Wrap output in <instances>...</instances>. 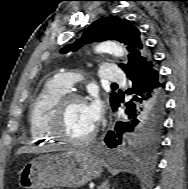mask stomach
<instances>
[{
	"instance_id": "0dacf381",
	"label": "stomach",
	"mask_w": 188,
	"mask_h": 189,
	"mask_svg": "<svg viewBox=\"0 0 188 189\" xmlns=\"http://www.w3.org/2000/svg\"><path fill=\"white\" fill-rule=\"evenodd\" d=\"M102 164L85 151H65L34 158L19 173L22 189H44L55 186L80 187L96 179Z\"/></svg>"
}]
</instances>
